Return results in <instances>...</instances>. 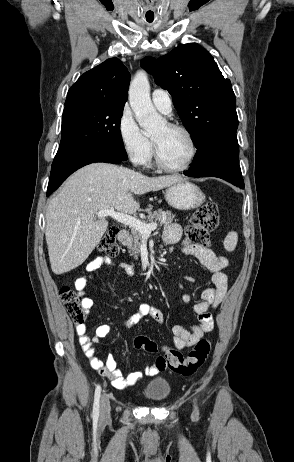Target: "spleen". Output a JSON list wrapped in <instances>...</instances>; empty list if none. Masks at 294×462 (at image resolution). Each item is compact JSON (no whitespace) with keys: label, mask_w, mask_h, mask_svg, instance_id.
<instances>
[{"label":"spleen","mask_w":294,"mask_h":462,"mask_svg":"<svg viewBox=\"0 0 294 462\" xmlns=\"http://www.w3.org/2000/svg\"><path fill=\"white\" fill-rule=\"evenodd\" d=\"M238 234L234 231L229 232L224 239V247L227 251H233L237 245Z\"/></svg>","instance_id":"3e777b00"}]
</instances>
